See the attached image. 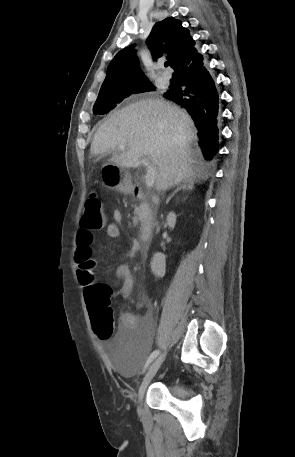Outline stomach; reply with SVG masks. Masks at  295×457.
<instances>
[{"label":"stomach","instance_id":"obj_1","mask_svg":"<svg viewBox=\"0 0 295 457\" xmlns=\"http://www.w3.org/2000/svg\"><path fill=\"white\" fill-rule=\"evenodd\" d=\"M103 184L108 189L117 190L122 193H130L132 183L128 171L115 163L109 162L101 168Z\"/></svg>","mask_w":295,"mask_h":457}]
</instances>
